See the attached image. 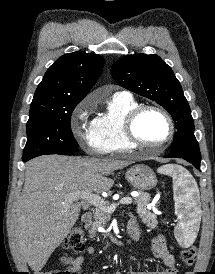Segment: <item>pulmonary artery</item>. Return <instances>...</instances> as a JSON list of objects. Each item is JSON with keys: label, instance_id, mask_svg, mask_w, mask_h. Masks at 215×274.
Masks as SVG:
<instances>
[{"label": "pulmonary artery", "instance_id": "obj_1", "mask_svg": "<svg viewBox=\"0 0 215 274\" xmlns=\"http://www.w3.org/2000/svg\"><path fill=\"white\" fill-rule=\"evenodd\" d=\"M116 94H119V95H129V93L125 92V91H123V92H117Z\"/></svg>", "mask_w": 215, "mask_h": 274}]
</instances>
